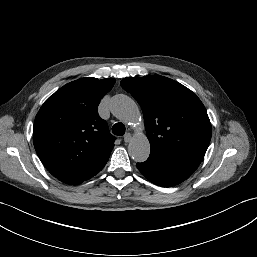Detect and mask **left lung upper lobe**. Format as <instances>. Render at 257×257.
<instances>
[{
	"instance_id": "obj_1",
	"label": "left lung upper lobe",
	"mask_w": 257,
	"mask_h": 257,
	"mask_svg": "<svg viewBox=\"0 0 257 257\" xmlns=\"http://www.w3.org/2000/svg\"><path fill=\"white\" fill-rule=\"evenodd\" d=\"M121 86L141 106L150 156L203 159L212 128L203 103L191 90L159 75L124 78Z\"/></svg>"
}]
</instances>
